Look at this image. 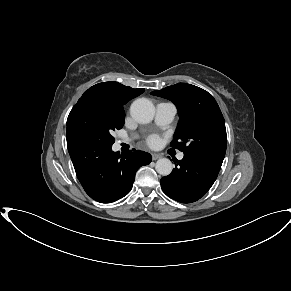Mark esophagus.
Wrapping results in <instances>:
<instances>
[{
    "instance_id": "esophagus-1",
    "label": "esophagus",
    "mask_w": 291,
    "mask_h": 291,
    "mask_svg": "<svg viewBox=\"0 0 291 291\" xmlns=\"http://www.w3.org/2000/svg\"><path fill=\"white\" fill-rule=\"evenodd\" d=\"M162 157V155H160V154H156V153H153L152 154V159L153 160H157V159H159V158H161Z\"/></svg>"
}]
</instances>
